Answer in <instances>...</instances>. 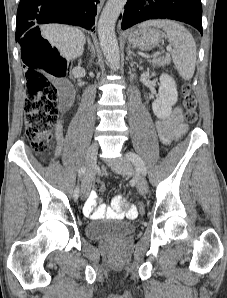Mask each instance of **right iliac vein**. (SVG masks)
<instances>
[{
	"label": "right iliac vein",
	"mask_w": 227,
	"mask_h": 298,
	"mask_svg": "<svg viewBox=\"0 0 227 298\" xmlns=\"http://www.w3.org/2000/svg\"><path fill=\"white\" fill-rule=\"evenodd\" d=\"M97 153H98V145L93 143L87 150L86 156H85V165L87 167L86 171V179L84 182V191L82 192V197L86 198L90 186H91V181H92V176H93V170H94V165L96 163V158H97Z\"/></svg>",
	"instance_id": "1"
}]
</instances>
